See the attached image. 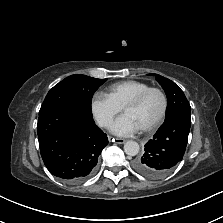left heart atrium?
Listing matches in <instances>:
<instances>
[{"label":"left heart atrium","instance_id":"obj_1","mask_svg":"<svg viewBox=\"0 0 223 223\" xmlns=\"http://www.w3.org/2000/svg\"><path fill=\"white\" fill-rule=\"evenodd\" d=\"M139 130L140 129L135 121L126 114L117 118L110 126V131L118 136H130Z\"/></svg>","mask_w":223,"mask_h":223}]
</instances>
